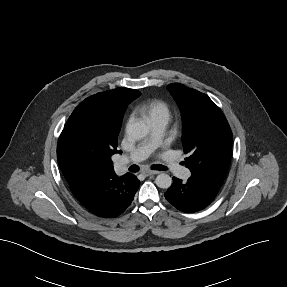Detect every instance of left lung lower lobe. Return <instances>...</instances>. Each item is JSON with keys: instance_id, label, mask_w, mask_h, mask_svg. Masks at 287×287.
Wrapping results in <instances>:
<instances>
[{"instance_id": "left-lung-lower-lobe-1", "label": "left lung lower lobe", "mask_w": 287, "mask_h": 287, "mask_svg": "<svg viewBox=\"0 0 287 287\" xmlns=\"http://www.w3.org/2000/svg\"><path fill=\"white\" fill-rule=\"evenodd\" d=\"M173 184L165 192V198L178 210L193 213L207 207L216 197L219 188L197 178L190 177L187 182L173 177Z\"/></svg>"}]
</instances>
